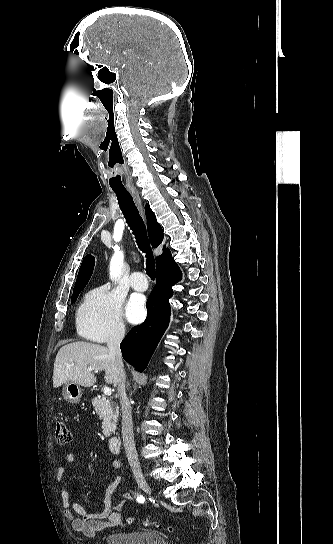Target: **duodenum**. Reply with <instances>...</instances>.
Listing matches in <instances>:
<instances>
[{"label":"duodenum","mask_w":333,"mask_h":544,"mask_svg":"<svg viewBox=\"0 0 333 544\" xmlns=\"http://www.w3.org/2000/svg\"><path fill=\"white\" fill-rule=\"evenodd\" d=\"M122 440L119 435H113L109 440V449L112 453L118 454L121 451Z\"/></svg>","instance_id":"1"}]
</instances>
